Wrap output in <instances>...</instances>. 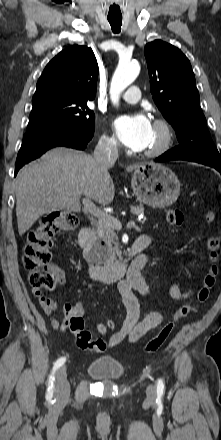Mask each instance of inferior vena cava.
I'll return each mask as SVG.
<instances>
[{
    "mask_svg": "<svg viewBox=\"0 0 221 440\" xmlns=\"http://www.w3.org/2000/svg\"><path fill=\"white\" fill-rule=\"evenodd\" d=\"M93 157L100 166H112L118 158L116 141L100 139L95 147Z\"/></svg>",
    "mask_w": 221,
    "mask_h": 440,
    "instance_id": "inferior-vena-cava-1",
    "label": "inferior vena cava"
}]
</instances>
